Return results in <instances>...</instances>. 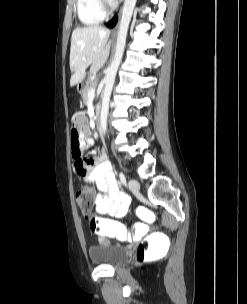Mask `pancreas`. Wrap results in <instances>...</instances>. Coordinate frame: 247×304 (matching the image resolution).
Segmentation results:
<instances>
[{"instance_id": "pancreas-1", "label": "pancreas", "mask_w": 247, "mask_h": 304, "mask_svg": "<svg viewBox=\"0 0 247 304\" xmlns=\"http://www.w3.org/2000/svg\"><path fill=\"white\" fill-rule=\"evenodd\" d=\"M96 85L95 82L93 81H88L85 85V87L81 90V96H82V99L84 102L87 101V98H88V91L91 89V88H94Z\"/></svg>"}]
</instances>
